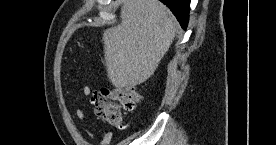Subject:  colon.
<instances>
[{"label": "colon", "instance_id": "5ec220e1", "mask_svg": "<svg viewBox=\"0 0 276 145\" xmlns=\"http://www.w3.org/2000/svg\"><path fill=\"white\" fill-rule=\"evenodd\" d=\"M140 94L130 85H119L113 88L104 87L91 94V103L96 116L106 124L119 127L123 122V111L137 108Z\"/></svg>", "mask_w": 276, "mask_h": 145}]
</instances>
